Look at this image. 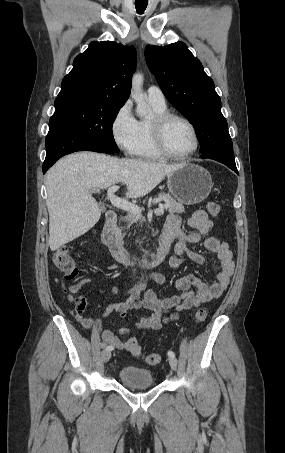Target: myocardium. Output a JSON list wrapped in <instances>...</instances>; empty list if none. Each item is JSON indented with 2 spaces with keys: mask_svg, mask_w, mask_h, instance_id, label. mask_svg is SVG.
<instances>
[{
  "mask_svg": "<svg viewBox=\"0 0 285 453\" xmlns=\"http://www.w3.org/2000/svg\"><path fill=\"white\" fill-rule=\"evenodd\" d=\"M172 120H180V121L184 122L185 124L188 125V127L192 131L193 138H194V146L187 153L175 154V153L171 152L169 150V148L167 147L165 132H166V128H167L168 124ZM150 125H151V133H152L154 145L162 156L170 158V159L182 160V159L191 157L198 150V147H199L198 131H197L195 125L185 116L167 111V112H164L161 114L154 115L153 118L150 120Z\"/></svg>",
  "mask_w": 285,
  "mask_h": 453,
  "instance_id": "myocardium-1",
  "label": "myocardium"
}]
</instances>
